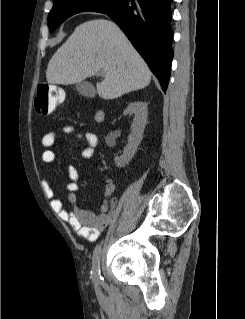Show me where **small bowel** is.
Here are the masks:
<instances>
[{
    "label": "small bowel",
    "mask_w": 245,
    "mask_h": 319,
    "mask_svg": "<svg viewBox=\"0 0 245 319\" xmlns=\"http://www.w3.org/2000/svg\"><path fill=\"white\" fill-rule=\"evenodd\" d=\"M63 132L67 135H74L77 139L85 142L86 147L82 151V156L89 159L93 156L95 148L98 144V137L91 131L76 133L75 128L67 125L63 128ZM56 140V133L48 131L42 138V145L45 150L42 152V162L44 164H51L55 160V152L51 149ZM67 174L70 181L66 185L69 192L68 201L71 204V209L67 210L64 207L62 200L55 198V193L48 181H45V194L51 199V205L59 217L68 222L71 229L76 232L80 238L87 239L90 242L95 241L99 235L109 225L112 215L109 212L108 199L115 190V185L111 180H107L104 192V200L100 207L98 215L82 208L78 203L76 191L79 188L80 174L78 169L73 165L67 166Z\"/></svg>",
    "instance_id": "c3829d8e"
}]
</instances>
